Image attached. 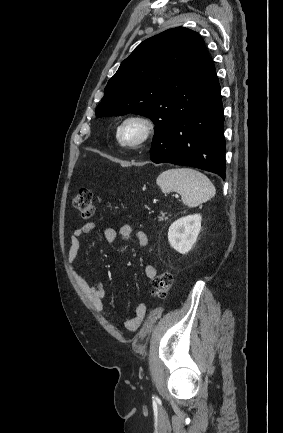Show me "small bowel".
<instances>
[{"instance_id": "1", "label": "small bowel", "mask_w": 283, "mask_h": 433, "mask_svg": "<svg viewBox=\"0 0 283 433\" xmlns=\"http://www.w3.org/2000/svg\"><path fill=\"white\" fill-rule=\"evenodd\" d=\"M94 229L95 223L88 222L73 231L70 236L68 263L77 286L87 296L96 311L102 313L104 311L103 300L106 294L105 285L102 282H98L94 285L89 284L87 280L80 275L76 267V258L80 250L81 237L88 235ZM132 233L133 227L130 224H125L121 227L119 233L113 228L105 229L104 238L108 244L115 245L119 237L124 241H131ZM136 240L141 247H145L148 244V236L144 231H137ZM144 271L146 277L149 279H153L156 276V269L152 265H147ZM146 311L147 307L144 303L137 304L135 307V315L125 321V328L131 332L137 330L145 317Z\"/></svg>"}]
</instances>
